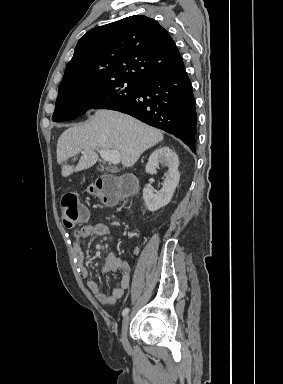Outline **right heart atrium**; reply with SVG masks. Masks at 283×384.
<instances>
[{
    "instance_id": "right-heart-atrium-1",
    "label": "right heart atrium",
    "mask_w": 283,
    "mask_h": 384,
    "mask_svg": "<svg viewBox=\"0 0 283 384\" xmlns=\"http://www.w3.org/2000/svg\"><path fill=\"white\" fill-rule=\"evenodd\" d=\"M86 99H87V103L90 106H93L99 101L100 94L97 90L91 89V90L86 92Z\"/></svg>"
}]
</instances>
